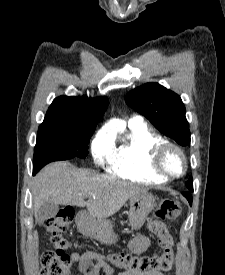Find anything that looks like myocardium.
I'll return each mask as SVG.
<instances>
[{"mask_svg": "<svg viewBox=\"0 0 225 275\" xmlns=\"http://www.w3.org/2000/svg\"><path fill=\"white\" fill-rule=\"evenodd\" d=\"M175 151L182 159V169L178 173H173L166 167V157L169 152ZM152 169L163 178L174 179L184 175L187 171L188 161L184 150L177 144L171 142H164L157 146L151 155Z\"/></svg>", "mask_w": 225, "mask_h": 275, "instance_id": "f54148a6", "label": "myocardium"}]
</instances>
